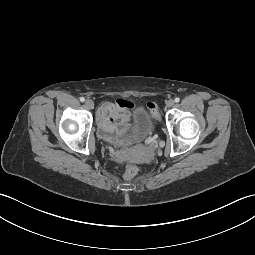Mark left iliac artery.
<instances>
[{
  "mask_svg": "<svg viewBox=\"0 0 255 255\" xmlns=\"http://www.w3.org/2000/svg\"><path fill=\"white\" fill-rule=\"evenodd\" d=\"M180 101V98L179 97H176L175 98V102L178 103Z\"/></svg>",
  "mask_w": 255,
  "mask_h": 255,
  "instance_id": "obj_1",
  "label": "left iliac artery"
}]
</instances>
